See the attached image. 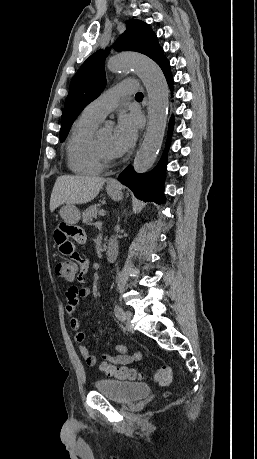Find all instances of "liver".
Wrapping results in <instances>:
<instances>
[{"instance_id": "6515ba94", "label": "liver", "mask_w": 257, "mask_h": 459, "mask_svg": "<svg viewBox=\"0 0 257 459\" xmlns=\"http://www.w3.org/2000/svg\"><path fill=\"white\" fill-rule=\"evenodd\" d=\"M105 182V178L96 176H59L51 193L50 211L53 212L62 204H85L92 201Z\"/></svg>"}]
</instances>
